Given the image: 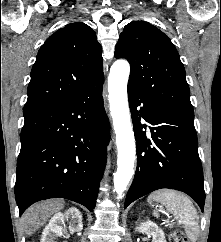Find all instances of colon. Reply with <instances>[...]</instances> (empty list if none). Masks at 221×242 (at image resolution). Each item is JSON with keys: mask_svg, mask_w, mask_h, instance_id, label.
Wrapping results in <instances>:
<instances>
[{"mask_svg": "<svg viewBox=\"0 0 221 242\" xmlns=\"http://www.w3.org/2000/svg\"><path fill=\"white\" fill-rule=\"evenodd\" d=\"M171 242H188V238L181 229H175L171 233Z\"/></svg>", "mask_w": 221, "mask_h": 242, "instance_id": "colon-1", "label": "colon"}]
</instances>
